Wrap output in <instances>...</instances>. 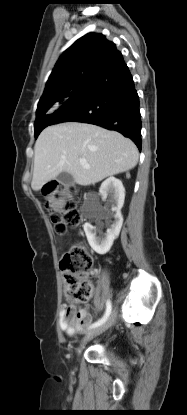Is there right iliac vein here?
I'll return each instance as SVG.
<instances>
[{
    "mask_svg": "<svg viewBox=\"0 0 187 415\" xmlns=\"http://www.w3.org/2000/svg\"><path fill=\"white\" fill-rule=\"evenodd\" d=\"M115 319H116V310L114 309L112 311V313L110 314V316L108 317V319L106 320V322H104V324H102L101 326H99V327H97L93 330L88 331L86 333L80 347L78 348V355L81 354V351H82V349H83V347H84V345L86 344L87 341H89V340L93 339L94 337L102 334L104 331H106L108 328H110L114 324Z\"/></svg>",
    "mask_w": 187,
    "mask_h": 415,
    "instance_id": "63e3f726",
    "label": "right iliac vein"
}]
</instances>
